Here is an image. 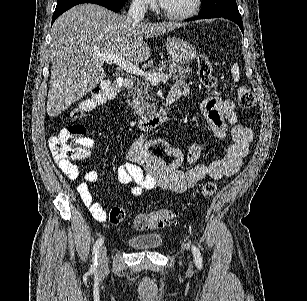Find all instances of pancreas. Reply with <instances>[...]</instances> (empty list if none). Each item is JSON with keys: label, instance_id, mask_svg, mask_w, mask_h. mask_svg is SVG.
Listing matches in <instances>:
<instances>
[{"label": "pancreas", "instance_id": "1", "mask_svg": "<svg viewBox=\"0 0 307 301\" xmlns=\"http://www.w3.org/2000/svg\"><path fill=\"white\" fill-rule=\"evenodd\" d=\"M187 68H183L180 64H174V62H169V60H163L154 68H151V72H159V74H169L172 80L175 78H182L185 76ZM128 96L132 98L130 104L134 110H136L138 116H146L150 112L156 110V100L152 98L150 92V82L149 80H137L133 90L128 92Z\"/></svg>", "mask_w": 307, "mask_h": 301}]
</instances>
